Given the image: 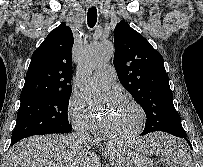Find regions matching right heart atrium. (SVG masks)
Masks as SVG:
<instances>
[{
    "label": "right heart atrium",
    "instance_id": "1",
    "mask_svg": "<svg viewBox=\"0 0 203 167\" xmlns=\"http://www.w3.org/2000/svg\"><path fill=\"white\" fill-rule=\"evenodd\" d=\"M67 115L72 127L79 132H94L97 120L86 107L85 103L76 96H71L67 105Z\"/></svg>",
    "mask_w": 203,
    "mask_h": 167
}]
</instances>
